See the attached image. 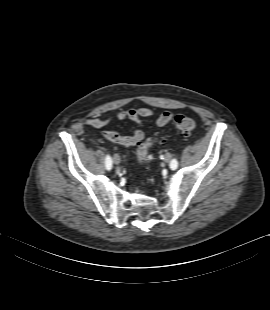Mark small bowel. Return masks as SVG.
I'll return each mask as SVG.
<instances>
[{"mask_svg": "<svg viewBox=\"0 0 270 310\" xmlns=\"http://www.w3.org/2000/svg\"><path fill=\"white\" fill-rule=\"evenodd\" d=\"M155 115V111L148 107H131L125 110H119L115 113V118L121 122L131 121L137 125L132 135L125 136L111 131H104L101 133L102 137L112 143L131 147L137 145L145 137L144 131L141 129L143 126V119L150 118ZM173 119V113L170 111H163L153 121L152 125L156 127H163L170 123ZM109 121L108 117H93L87 120V124L94 128H101Z\"/></svg>", "mask_w": 270, "mask_h": 310, "instance_id": "obj_1", "label": "small bowel"}]
</instances>
